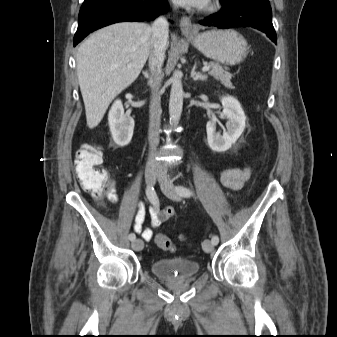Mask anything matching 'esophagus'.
<instances>
[{"mask_svg":"<svg viewBox=\"0 0 337 337\" xmlns=\"http://www.w3.org/2000/svg\"><path fill=\"white\" fill-rule=\"evenodd\" d=\"M180 29L184 35H190L193 33L194 28L191 23V20L187 16H183L180 20Z\"/></svg>","mask_w":337,"mask_h":337,"instance_id":"1","label":"esophagus"}]
</instances>
